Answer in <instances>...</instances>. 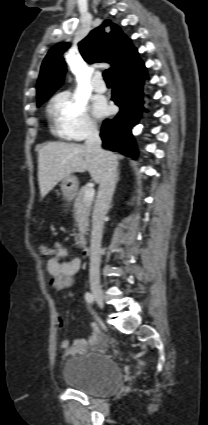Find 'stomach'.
<instances>
[{"label":"stomach","mask_w":208,"mask_h":425,"mask_svg":"<svg viewBox=\"0 0 208 425\" xmlns=\"http://www.w3.org/2000/svg\"><path fill=\"white\" fill-rule=\"evenodd\" d=\"M78 189V180L76 176L69 175L62 179L61 190L66 200L70 201L76 195Z\"/></svg>","instance_id":"1"}]
</instances>
